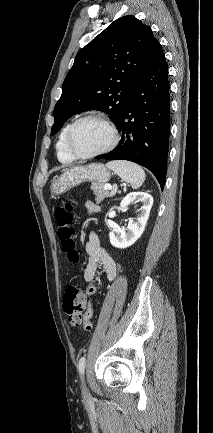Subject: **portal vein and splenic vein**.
Instances as JSON below:
<instances>
[{
  "mask_svg": "<svg viewBox=\"0 0 213 433\" xmlns=\"http://www.w3.org/2000/svg\"><path fill=\"white\" fill-rule=\"evenodd\" d=\"M104 189H105V190H112V186L109 185V184H107V185L104 186ZM115 193H116V189L113 188V190H112V192H111L110 195L113 196V195H115Z\"/></svg>",
  "mask_w": 213,
  "mask_h": 433,
  "instance_id": "18ae733b",
  "label": "portal vein and splenic vein"
}]
</instances>
